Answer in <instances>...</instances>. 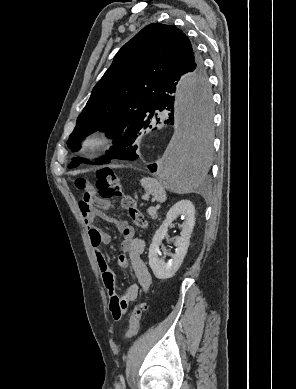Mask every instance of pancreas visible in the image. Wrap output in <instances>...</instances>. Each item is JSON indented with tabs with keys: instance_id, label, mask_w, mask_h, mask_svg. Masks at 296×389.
<instances>
[{
	"instance_id": "pancreas-1",
	"label": "pancreas",
	"mask_w": 296,
	"mask_h": 389,
	"mask_svg": "<svg viewBox=\"0 0 296 389\" xmlns=\"http://www.w3.org/2000/svg\"><path fill=\"white\" fill-rule=\"evenodd\" d=\"M156 210H157L156 207H152V208H149L148 212L154 211L155 213L153 215H151V216L155 217L156 216Z\"/></svg>"
}]
</instances>
